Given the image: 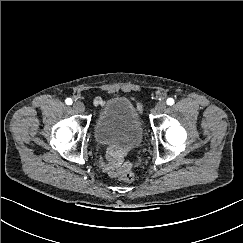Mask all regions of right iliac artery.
Here are the masks:
<instances>
[{
    "label": "right iliac artery",
    "mask_w": 243,
    "mask_h": 243,
    "mask_svg": "<svg viewBox=\"0 0 243 243\" xmlns=\"http://www.w3.org/2000/svg\"><path fill=\"white\" fill-rule=\"evenodd\" d=\"M65 102H66L67 105H71L72 104V99L71 98H67L65 100Z\"/></svg>",
    "instance_id": "1"
}]
</instances>
